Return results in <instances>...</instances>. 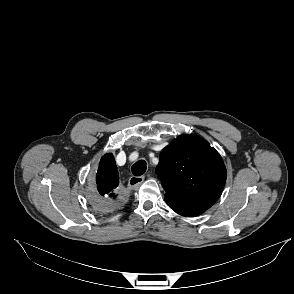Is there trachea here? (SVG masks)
Wrapping results in <instances>:
<instances>
[{
  "label": "trachea",
  "mask_w": 294,
  "mask_h": 294,
  "mask_svg": "<svg viewBox=\"0 0 294 294\" xmlns=\"http://www.w3.org/2000/svg\"><path fill=\"white\" fill-rule=\"evenodd\" d=\"M133 175L141 176L146 171V162L144 160L137 161L131 168Z\"/></svg>",
  "instance_id": "3493384b"
}]
</instances>
